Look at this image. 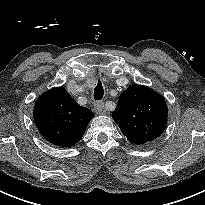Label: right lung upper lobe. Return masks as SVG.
I'll return each instance as SVG.
<instances>
[{
	"label": "right lung upper lobe",
	"instance_id": "obj_1",
	"mask_svg": "<svg viewBox=\"0 0 205 205\" xmlns=\"http://www.w3.org/2000/svg\"><path fill=\"white\" fill-rule=\"evenodd\" d=\"M33 116L47 141L71 147L81 140L94 113L78 105L64 87H59L43 93L36 100Z\"/></svg>",
	"mask_w": 205,
	"mask_h": 205
}]
</instances>
